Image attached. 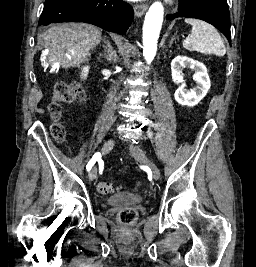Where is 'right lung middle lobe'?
Masks as SVG:
<instances>
[{"instance_id": "1", "label": "right lung middle lobe", "mask_w": 256, "mask_h": 267, "mask_svg": "<svg viewBox=\"0 0 256 267\" xmlns=\"http://www.w3.org/2000/svg\"><path fill=\"white\" fill-rule=\"evenodd\" d=\"M51 1H53V0H45V4H46V3H49V2H51Z\"/></svg>"}]
</instances>
